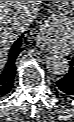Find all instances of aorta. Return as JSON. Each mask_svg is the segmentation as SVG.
Returning a JSON list of instances; mask_svg holds the SVG:
<instances>
[{
    "label": "aorta",
    "mask_w": 74,
    "mask_h": 122,
    "mask_svg": "<svg viewBox=\"0 0 74 122\" xmlns=\"http://www.w3.org/2000/svg\"><path fill=\"white\" fill-rule=\"evenodd\" d=\"M46 67L52 74L63 76L68 73L70 64L66 57L53 55L47 58Z\"/></svg>",
    "instance_id": "1"
}]
</instances>
